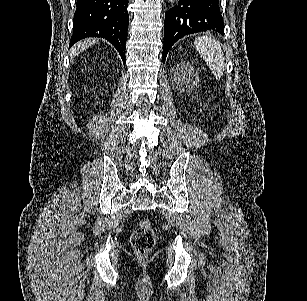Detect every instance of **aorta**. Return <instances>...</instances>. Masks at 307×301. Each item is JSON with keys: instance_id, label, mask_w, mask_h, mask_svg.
Segmentation results:
<instances>
[{"instance_id": "aorta-1", "label": "aorta", "mask_w": 307, "mask_h": 301, "mask_svg": "<svg viewBox=\"0 0 307 301\" xmlns=\"http://www.w3.org/2000/svg\"><path fill=\"white\" fill-rule=\"evenodd\" d=\"M170 2H177V0H170Z\"/></svg>"}]
</instances>
